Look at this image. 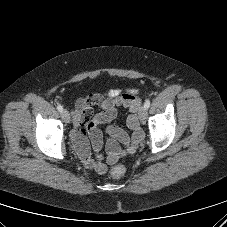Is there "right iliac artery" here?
<instances>
[{
	"label": "right iliac artery",
	"instance_id": "right-iliac-artery-1",
	"mask_svg": "<svg viewBox=\"0 0 227 227\" xmlns=\"http://www.w3.org/2000/svg\"><path fill=\"white\" fill-rule=\"evenodd\" d=\"M57 109H58L59 112H62L63 111V107L61 105H58L57 106Z\"/></svg>",
	"mask_w": 227,
	"mask_h": 227
}]
</instances>
